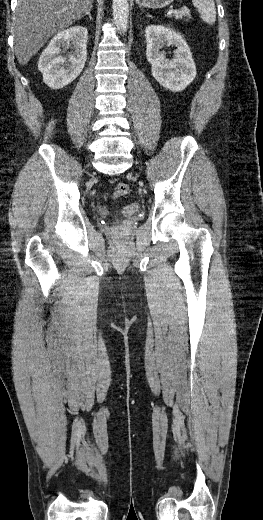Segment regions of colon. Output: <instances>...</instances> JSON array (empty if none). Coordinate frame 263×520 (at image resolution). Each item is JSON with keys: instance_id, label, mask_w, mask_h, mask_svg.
<instances>
[{"instance_id": "5ec220e1", "label": "colon", "mask_w": 263, "mask_h": 520, "mask_svg": "<svg viewBox=\"0 0 263 520\" xmlns=\"http://www.w3.org/2000/svg\"><path fill=\"white\" fill-rule=\"evenodd\" d=\"M129 186L126 183H118L113 192V198H123L129 194Z\"/></svg>"}]
</instances>
